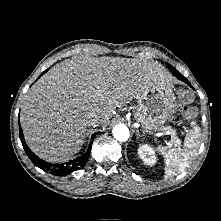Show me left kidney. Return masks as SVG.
Listing matches in <instances>:
<instances>
[{
  "label": "left kidney",
  "mask_w": 221,
  "mask_h": 221,
  "mask_svg": "<svg viewBox=\"0 0 221 221\" xmlns=\"http://www.w3.org/2000/svg\"><path fill=\"white\" fill-rule=\"evenodd\" d=\"M139 157L146 165H154L157 161L154 150L147 144L140 145L138 148Z\"/></svg>",
  "instance_id": "obj_1"
}]
</instances>
